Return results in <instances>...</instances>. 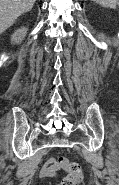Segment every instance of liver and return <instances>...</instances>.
Wrapping results in <instances>:
<instances>
[{
	"instance_id": "1",
	"label": "liver",
	"mask_w": 119,
	"mask_h": 185,
	"mask_svg": "<svg viewBox=\"0 0 119 185\" xmlns=\"http://www.w3.org/2000/svg\"><path fill=\"white\" fill-rule=\"evenodd\" d=\"M36 0H0V35L14 24L17 18L30 11Z\"/></svg>"
}]
</instances>
